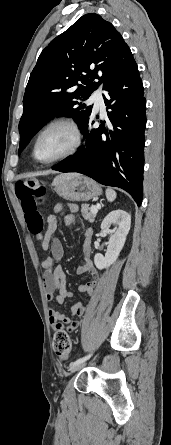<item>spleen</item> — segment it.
<instances>
[{
	"instance_id": "3e777b00",
	"label": "spleen",
	"mask_w": 171,
	"mask_h": 445,
	"mask_svg": "<svg viewBox=\"0 0 171 445\" xmlns=\"http://www.w3.org/2000/svg\"><path fill=\"white\" fill-rule=\"evenodd\" d=\"M105 194L109 202H113L116 199V192L111 188H107Z\"/></svg>"
}]
</instances>
